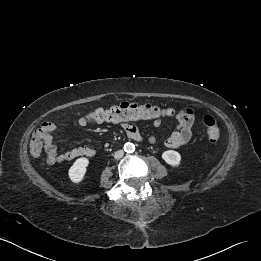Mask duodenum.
<instances>
[{"label": "duodenum", "instance_id": "410a0bca", "mask_svg": "<svg viewBox=\"0 0 261 261\" xmlns=\"http://www.w3.org/2000/svg\"><path fill=\"white\" fill-rule=\"evenodd\" d=\"M130 138L136 141H141V136L139 133H133Z\"/></svg>", "mask_w": 261, "mask_h": 261}]
</instances>
